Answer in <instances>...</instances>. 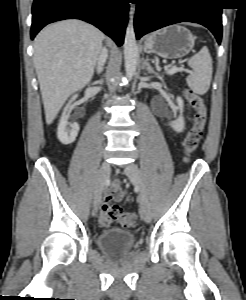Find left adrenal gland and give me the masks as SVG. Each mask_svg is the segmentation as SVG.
I'll list each match as a JSON object with an SVG mask.
<instances>
[{
    "mask_svg": "<svg viewBox=\"0 0 246 300\" xmlns=\"http://www.w3.org/2000/svg\"><path fill=\"white\" fill-rule=\"evenodd\" d=\"M144 66L146 67V71L149 74L157 75V73L154 71V69L151 67L150 63L146 59L144 60Z\"/></svg>",
    "mask_w": 246,
    "mask_h": 300,
    "instance_id": "1",
    "label": "left adrenal gland"
}]
</instances>
